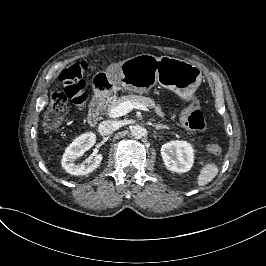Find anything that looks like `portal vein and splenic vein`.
Returning a JSON list of instances; mask_svg holds the SVG:
<instances>
[{"instance_id": "18ae733b", "label": "portal vein and splenic vein", "mask_w": 266, "mask_h": 266, "mask_svg": "<svg viewBox=\"0 0 266 266\" xmlns=\"http://www.w3.org/2000/svg\"><path fill=\"white\" fill-rule=\"evenodd\" d=\"M132 109L141 110L150 114L152 113V110L145 104L139 102L135 103L132 101H124L110 108V110L108 111V116L110 118H119L128 114Z\"/></svg>"}]
</instances>
